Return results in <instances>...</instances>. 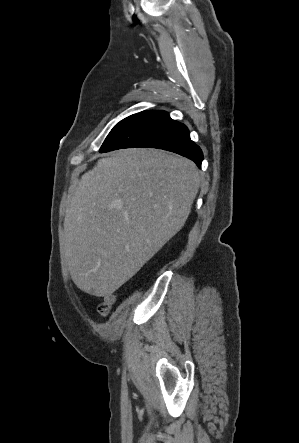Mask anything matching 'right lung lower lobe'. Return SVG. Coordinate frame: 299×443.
<instances>
[{"label": "right lung lower lobe", "mask_w": 299, "mask_h": 443, "mask_svg": "<svg viewBox=\"0 0 299 443\" xmlns=\"http://www.w3.org/2000/svg\"><path fill=\"white\" fill-rule=\"evenodd\" d=\"M158 148L193 160L199 167L203 160L201 149L190 139L187 127L172 120L167 112L143 111L108 148V152L121 148Z\"/></svg>", "instance_id": "obj_1"}]
</instances>
